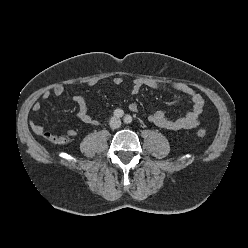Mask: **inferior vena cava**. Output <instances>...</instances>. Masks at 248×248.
Returning a JSON list of instances; mask_svg holds the SVG:
<instances>
[{
    "instance_id": "1",
    "label": "inferior vena cava",
    "mask_w": 248,
    "mask_h": 248,
    "mask_svg": "<svg viewBox=\"0 0 248 248\" xmlns=\"http://www.w3.org/2000/svg\"><path fill=\"white\" fill-rule=\"evenodd\" d=\"M110 126L113 129L119 128L121 126V120L119 118H112Z\"/></svg>"
}]
</instances>
